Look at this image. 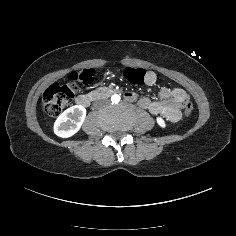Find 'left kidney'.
Wrapping results in <instances>:
<instances>
[{"label":"left kidney","instance_id":"obj_1","mask_svg":"<svg viewBox=\"0 0 236 236\" xmlns=\"http://www.w3.org/2000/svg\"><path fill=\"white\" fill-rule=\"evenodd\" d=\"M157 123H158V125L161 126L162 128H164V127L166 126L164 120H163L161 117H158V118H157Z\"/></svg>","mask_w":236,"mask_h":236}]
</instances>
